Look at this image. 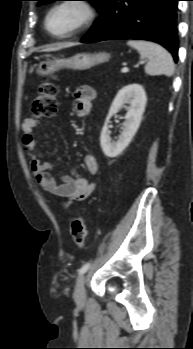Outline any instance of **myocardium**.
<instances>
[{"mask_svg":"<svg viewBox=\"0 0 193 349\" xmlns=\"http://www.w3.org/2000/svg\"><path fill=\"white\" fill-rule=\"evenodd\" d=\"M66 5H77L81 7L85 12V16L82 19V21L78 23L75 27H73L71 30L62 34L53 33L48 26L49 17L54 10ZM97 15H98V10L96 6L89 0H61L53 4L47 10L44 18V27L52 37L57 39H67L79 34L83 30H85L87 27H89L95 21V19L97 18Z\"/></svg>","mask_w":193,"mask_h":349,"instance_id":"myocardium-1","label":"myocardium"}]
</instances>
